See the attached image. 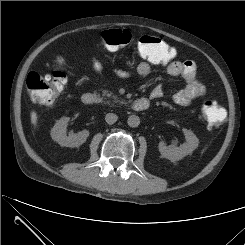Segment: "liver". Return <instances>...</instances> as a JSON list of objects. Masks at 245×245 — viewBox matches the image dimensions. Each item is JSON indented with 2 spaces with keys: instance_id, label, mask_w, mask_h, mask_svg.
Instances as JSON below:
<instances>
[{
  "instance_id": "liver-1",
  "label": "liver",
  "mask_w": 245,
  "mask_h": 245,
  "mask_svg": "<svg viewBox=\"0 0 245 245\" xmlns=\"http://www.w3.org/2000/svg\"><path fill=\"white\" fill-rule=\"evenodd\" d=\"M31 117V123L36 126L37 125V114L35 111H32L30 114Z\"/></svg>"
}]
</instances>
